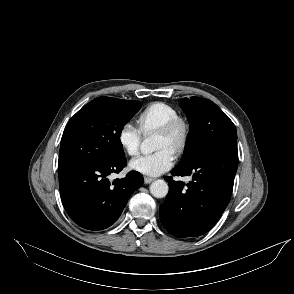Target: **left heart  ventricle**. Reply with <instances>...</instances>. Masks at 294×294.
Masks as SVG:
<instances>
[{
  "mask_svg": "<svg viewBox=\"0 0 294 294\" xmlns=\"http://www.w3.org/2000/svg\"><path fill=\"white\" fill-rule=\"evenodd\" d=\"M173 143L174 139L162 134H157V139H156V149L161 150V149H171L173 151Z\"/></svg>",
  "mask_w": 294,
  "mask_h": 294,
  "instance_id": "1",
  "label": "left heart ventricle"
}]
</instances>
